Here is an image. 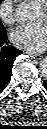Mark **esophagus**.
Wrapping results in <instances>:
<instances>
[{
	"label": "esophagus",
	"mask_w": 47,
	"mask_h": 129,
	"mask_svg": "<svg viewBox=\"0 0 47 129\" xmlns=\"http://www.w3.org/2000/svg\"><path fill=\"white\" fill-rule=\"evenodd\" d=\"M27 54L31 57V58H33V59H37V60H40L41 59V55H39V54H33V53H30V52H27Z\"/></svg>",
	"instance_id": "obj_1"
}]
</instances>
